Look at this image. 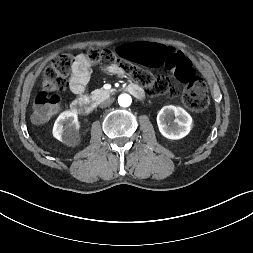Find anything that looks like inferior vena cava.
<instances>
[{
	"label": "inferior vena cava",
	"mask_w": 253,
	"mask_h": 253,
	"mask_svg": "<svg viewBox=\"0 0 253 253\" xmlns=\"http://www.w3.org/2000/svg\"><path fill=\"white\" fill-rule=\"evenodd\" d=\"M112 102H113V99H111V98L104 100L103 102H101L100 107L101 108L108 107L111 105Z\"/></svg>",
	"instance_id": "obj_1"
}]
</instances>
